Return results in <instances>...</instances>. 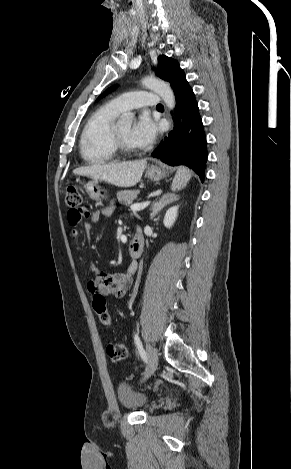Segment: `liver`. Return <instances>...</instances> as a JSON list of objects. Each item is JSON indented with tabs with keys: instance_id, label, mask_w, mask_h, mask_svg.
I'll return each instance as SVG.
<instances>
[{
	"instance_id": "obj_1",
	"label": "liver",
	"mask_w": 291,
	"mask_h": 469,
	"mask_svg": "<svg viewBox=\"0 0 291 469\" xmlns=\"http://www.w3.org/2000/svg\"><path fill=\"white\" fill-rule=\"evenodd\" d=\"M146 165L147 159L111 164L99 163L77 168L73 173L103 180L118 187H132L140 181Z\"/></svg>"
}]
</instances>
